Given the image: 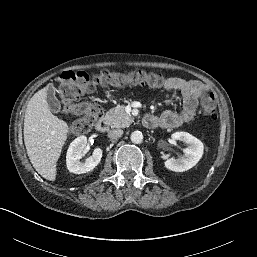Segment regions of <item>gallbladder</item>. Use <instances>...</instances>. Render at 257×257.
Masks as SVG:
<instances>
[{
    "mask_svg": "<svg viewBox=\"0 0 257 257\" xmlns=\"http://www.w3.org/2000/svg\"><path fill=\"white\" fill-rule=\"evenodd\" d=\"M48 106L53 113L61 112L60 101L55 96V89L53 86H49L47 89V97H46Z\"/></svg>",
    "mask_w": 257,
    "mask_h": 257,
    "instance_id": "obj_1",
    "label": "gallbladder"
}]
</instances>
